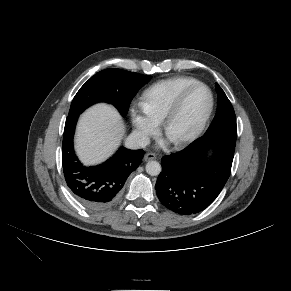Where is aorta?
Segmentation results:
<instances>
[{
  "label": "aorta",
  "instance_id": "1",
  "mask_svg": "<svg viewBox=\"0 0 291 291\" xmlns=\"http://www.w3.org/2000/svg\"><path fill=\"white\" fill-rule=\"evenodd\" d=\"M161 170V165L157 161H149L146 164V172L151 176L159 175Z\"/></svg>",
  "mask_w": 291,
  "mask_h": 291
}]
</instances>
